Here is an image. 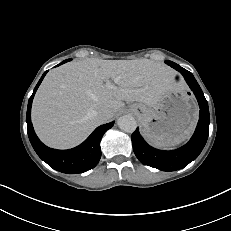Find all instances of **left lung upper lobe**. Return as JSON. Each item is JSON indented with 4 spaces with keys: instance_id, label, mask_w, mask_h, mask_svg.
Instances as JSON below:
<instances>
[{
    "instance_id": "1",
    "label": "left lung upper lobe",
    "mask_w": 231,
    "mask_h": 231,
    "mask_svg": "<svg viewBox=\"0 0 231 231\" xmlns=\"http://www.w3.org/2000/svg\"><path fill=\"white\" fill-rule=\"evenodd\" d=\"M166 63L169 64L170 66H172L173 68H175L176 70L180 67L179 65H177L176 63L171 62V61H166Z\"/></svg>"
}]
</instances>
